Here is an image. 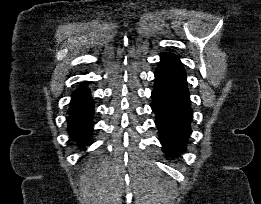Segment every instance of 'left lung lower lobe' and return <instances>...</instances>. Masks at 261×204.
I'll use <instances>...</instances> for the list:
<instances>
[{"label": "left lung lower lobe", "mask_w": 261, "mask_h": 204, "mask_svg": "<svg viewBox=\"0 0 261 204\" xmlns=\"http://www.w3.org/2000/svg\"><path fill=\"white\" fill-rule=\"evenodd\" d=\"M152 110L156 115L159 140L168 156L186 150L192 132L193 110L190 104L186 72L178 57L163 53L155 71Z\"/></svg>", "instance_id": "left-lung-lower-lobe-1"}]
</instances>
